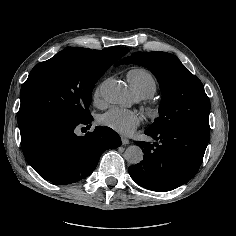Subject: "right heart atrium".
<instances>
[{
    "label": "right heart atrium",
    "instance_id": "1",
    "mask_svg": "<svg viewBox=\"0 0 236 236\" xmlns=\"http://www.w3.org/2000/svg\"><path fill=\"white\" fill-rule=\"evenodd\" d=\"M94 98H95V100H98L100 98V87L96 90V92L94 94Z\"/></svg>",
    "mask_w": 236,
    "mask_h": 236
}]
</instances>
